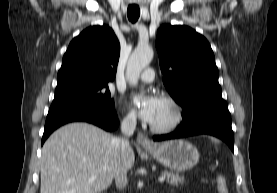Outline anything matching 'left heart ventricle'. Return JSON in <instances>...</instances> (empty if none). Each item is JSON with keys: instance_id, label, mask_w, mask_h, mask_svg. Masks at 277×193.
I'll use <instances>...</instances> for the list:
<instances>
[{"instance_id": "b2bd125f", "label": "left heart ventricle", "mask_w": 277, "mask_h": 193, "mask_svg": "<svg viewBox=\"0 0 277 193\" xmlns=\"http://www.w3.org/2000/svg\"><path fill=\"white\" fill-rule=\"evenodd\" d=\"M173 118V108L165 101L160 102L157 113L151 124L155 126H164Z\"/></svg>"}]
</instances>
